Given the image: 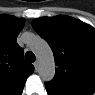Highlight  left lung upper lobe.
I'll return each instance as SVG.
<instances>
[{
	"mask_svg": "<svg viewBox=\"0 0 95 95\" xmlns=\"http://www.w3.org/2000/svg\"><path fill=\"white\" fill-rule=\"evenodd\" d=\"M33 29L50 45L57 69L53 89L77 88L95 91V30L72 17H43L33 20Z\"/></svg>",
	"mask_w": 95,
	"mask_h": 95,
	"instance_id": "5c2ea615",
	"label": "left lung upper lobe"
}]
</instances>
